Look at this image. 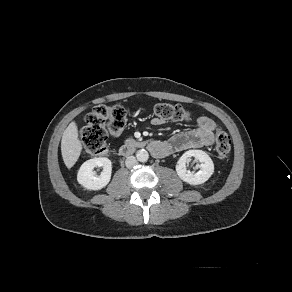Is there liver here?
Returning a JSON list of instances; mask_svg holds the SVG:
<instances>
[{
  "mask_svg": "<svg viewBox=\"0 0 292 292\" xmlns=\"http://www.w3.org/2000/svg\"><path fill=\"white\" fill-rule=\"evenodd\" d=\"M82 151V145L78 138V128L75 122H71L65 129L61 140V153L63 161L68 169L74 166Z\"/></svg>",
  "mask_w": 292,
  "mask_h": 292,
  "instance_id": "liver-1",
  "label": "liver"
}]
</instances>
